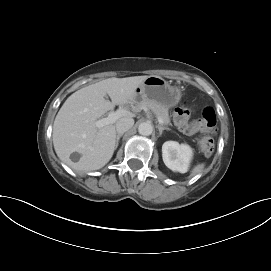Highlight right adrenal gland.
<instances>
[{
    "mask_svg": "<svg viewBox=\"0 0 271 271\" xmlns=\"http://www.w3.org/2000/svg\"><path fill=\"white\" fill-rule=\"evenodd\" d=\"M123 136V134H118L117 137H116V148L118 146V142L120 140V138Z\"/></svg>",
    "mask_w": 271,
    "mask_h": 271,
    "instance_id": "obj_1",
    "label": "right adrenal gland"
}]
</instances>
